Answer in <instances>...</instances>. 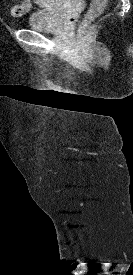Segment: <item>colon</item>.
<instances>
[{
  "label": "colon",
  "instance_id": "1",
  "mask_svg": "<svg viewBox=\"0 0 133 275\" xmlns=\"http://www.w3.org/2000/svg\"><path fill=\"white\" fill-rule=\"evenodd\" d=\"M107 0H93L89 15L90 16H97L100 13H102ZM30 9V5L27 0H25L22 4L13 5L11 7V14L13 16L19 17L22 16L25 12H27ZM73 20V19H71Z\"/></svg>",
  "mask_w": 133,
  "mask_h": 275
}]
</instances>
